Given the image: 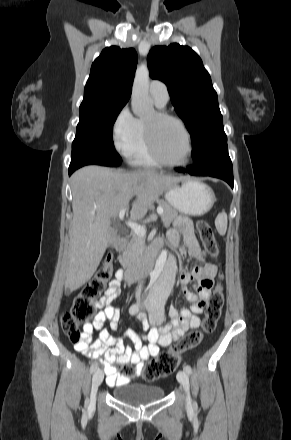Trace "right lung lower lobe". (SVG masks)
<instances>
[{"label": "right lung lower lobe", "instance_id": "98d812e1", "mask_svg": "<svg viewBox=\"0 0 291 440\" xmlns=\"http://www.w3.org/2000/svg\"><path fill=\"white\" fill-rule=\"evenodd\" d=\"M90 164L110 166L106 162H103V161H100L97 159L79 157V158L71 159V163L69 166V175H71L78 168L85 166V165H90ZM110 167H112V166H110Z\"/></svg>", "mask_w": 291, "mask_h": 440}]
</instances>
